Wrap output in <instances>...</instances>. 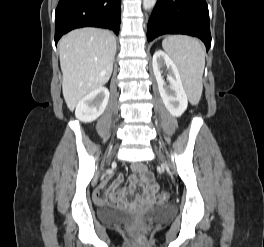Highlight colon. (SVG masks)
<instances>
[{
  "label": "colon",
  "instance_id": "colon-1",
  "mask_svg": "<svg viewBox=\"0 0 264 247\" xmlns=\"http://www.w3.org/2000/svg\"><path fill=\"white\" fill-rule=\"evenodd\" d=\"M171 197L170 192L168 191H161L160 193H158L157 195V202L158 203H165L167 202Z\"/></svg>",
  "mask_w": 264,
  "mask_h": 247
}]
</instances>
